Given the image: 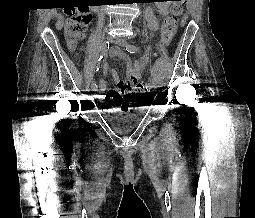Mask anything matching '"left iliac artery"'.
I'll return each instance as SVG.
<instances>
[{
  "instance_id": "obj_1",
  "label": "left iliac artery",
  "mask_w": 255,
  "mask_h": 218,
  "mask_svg": "<svg viewBox=\"0 0 255 218\" xmlns=\"http://www.w3.org/2000/svg\"><path fill=\"white\" fill-rule=\"evenodd\" d=\"M126 50H127L128 52H130V53H135L138 49H137L136 46L129 44V45L126 46ZM152 87H153V83L150 81V82L147 84L146 89H147L148 91H150V90L152 89Z\"/></svg>"
}]
</instances>
